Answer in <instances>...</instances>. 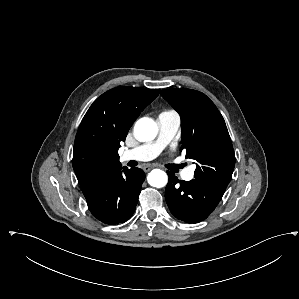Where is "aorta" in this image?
<instances>
[{
  "instance_id": "aorta-1",
  "label": "aorta",
  "mask_w": 299,
  "mask_h": 299,
  "mask_svg": "<svg viewBox=\"0 0 299 299\" xmlns=\"http://www.w3.org/2000/svg\"><path fill=\"white\" fill-rule=\"evenodd\" d=\"M157 133V124L150 118H141L134 126L135 138L141 142L155 139ZM147 180L151 186L162 188L167 184L168 176L164 171L160 169H154L148 174Z\"/></svg>"
}]
</instances>
